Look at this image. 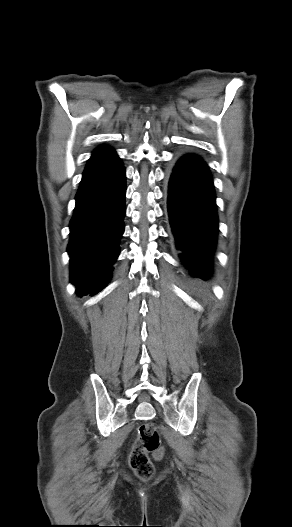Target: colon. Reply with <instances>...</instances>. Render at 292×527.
I'll return each instance as SVG.
<instances>
[{"instance_id": "1", "label": "colon", "mask_w": 292, "mask_h": 527, "mask_svg": "<svg viewBox=\"0 0 292 527\" xmlns=\"http://www.w3.org/2000/svg\"><path fill=\"white\" fill-rule=\"evenodd\" d=\"M159 445L158 432L153 424H142L138 430V439L130 454V466L141 479H149L154 474V465L149 452Z\"/></svg>"}]
</instances>
